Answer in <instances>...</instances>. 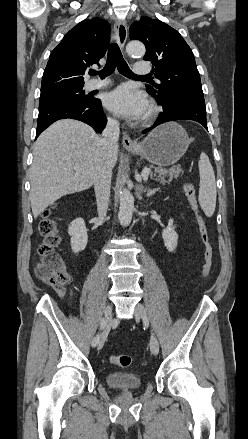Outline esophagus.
Masks as SVG:
<instances>
[{
    "label": "esophagus",
    "instance_id": "obj_1",
    "mask_svg": "<svg viewBox=\"0 0 248 439\" xmlns=\"http://www.w3.org/2000/svg\"><path fill=\"white\" fill-rule=\"evenodd\" d=\"M114 31L116 42L119 47L123 49L128 34L126 22L123 20L116 21L114 24ZM122 144L128 150L134 149L137 146L136 142H134L127 133L123 134Z\"/></svg>",
    "mask_w": 248,
    "mask_h": 439
}]
</instances>
